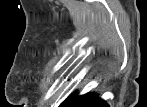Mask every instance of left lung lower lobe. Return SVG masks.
I'll return each instance as SVG.
<instances>
[{
    "mask_svg": "<svg viewBox=\"0 0 147 107\" xmlns=\"http://www.w3.org/2000/svg\"><path fill=\"white\" fill-rule=\"evenodd\" d=\"M60 107H109V105L97 93L89 92L78 95V92H74L67 97Z\"/></svg>",
    "mask_w": 147,
    "mask_h": 107,
    "instance_id": "obj_1",
    "label": "left lung lower lobe"
}]
</instances>
